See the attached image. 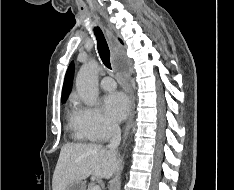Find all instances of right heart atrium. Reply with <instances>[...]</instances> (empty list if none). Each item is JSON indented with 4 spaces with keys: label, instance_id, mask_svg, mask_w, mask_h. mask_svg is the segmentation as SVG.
Listing matches in <instances>:
<instances>
[{
    "label": "right heart atrium",
    "instance_id": "1",
    "mask_svg": "<svg viewBox=\"0 0 234 190\" xmlns=\"http://www.w3.org/2000/svg\"><path fill=\"white\" fill-rule=\"evenodd\" d=\"M76 118L80 130L94 141H104L118 129L96 106L80 105Z\"/></svg>",
    "mask_w": 234,
    "mask_h": 190
}]
</instances>
